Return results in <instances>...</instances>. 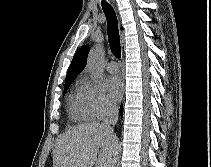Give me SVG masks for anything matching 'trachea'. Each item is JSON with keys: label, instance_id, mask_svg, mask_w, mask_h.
Returning a JSON list of instances; mask_svg holds the SVG:
<instances>
[{"label": "trachea", "instance_id": "trachea-1", "mask_svg": "<svg viewBox=\"0 0 211 167\" xmlns=\"http://www.w3.org/2000/svg\"><path fill=\"white\" fill-rule=\"evenodd\" d=\"M101 5L107 19V33L111 52L120 59L121 46L116 13L112 6L106 1H102Z\"/></svg>", "mask_w": 211, "mask_h": 167}]
</instances>
